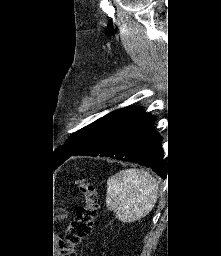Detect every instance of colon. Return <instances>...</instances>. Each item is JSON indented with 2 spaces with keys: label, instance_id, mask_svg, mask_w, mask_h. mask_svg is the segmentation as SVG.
<instances>
[{
  "label": "colon",
  "instance_id": "colon-1",
  "mask_svg": "<svg viewBox=\"0 0 221 256\" xmlns=\"http://www.w3.org/2000/svg\"><path fill=\"white\" fill-rule=\"evenodd\" d=\"M75 184L84 196V204L76 208L73 221L59 240L60 256H76L74 248L91 233L98 212V198L94 186L87 179H80Z\"/></svg>",
  "mask_w": 221,
  "mask_h": 256
}]
</instances>
